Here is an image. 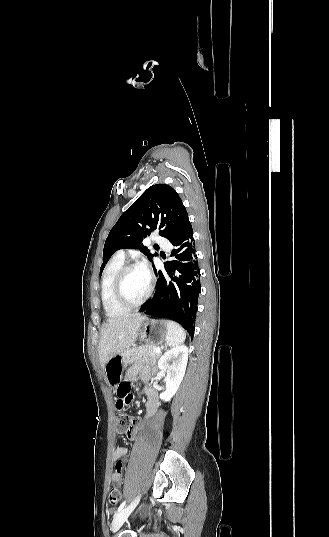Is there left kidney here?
I'll use <instances>...</instances> for the list:
<instances>
[{"label":"left kidney","instance_id":"1","mask_svg":"<svg viewBox=\"0 0 329 537\" xmlns=\"http://www.w3.org/2000/svg\"><path fill=\"white\" fill-rule=\"evenodd\" d=\"M188 360V348L185 345L174 347L164 353L158 361V368L166 371V390L160 399L168 402L176 394L183 380Z\"/></svg>","mask_w":329,"mask_h":537}]
</instances>
